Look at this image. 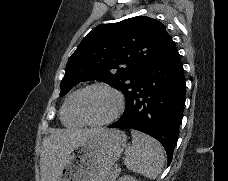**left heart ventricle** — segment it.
I'll return each instance as SVG.
<instances>
[{
	"mask_svg": "<svg viewBox=\"0 0 228 181\" xmlns=\"http://www.w3.org/2000/svg\"><path fill=\"white\" fill-rule=\"evenodd\" d=\"M114 96L103 89H91L81 100V111L91 115L92 121L105 117L114 107Z\"/></svg>",
	"mask_w": 228,
	"mask_h": 181,
	"instance_id": "1",
	"label": "left heart ventricle"
}]
</instances>
